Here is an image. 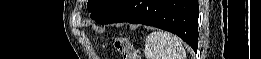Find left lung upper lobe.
<instances>
[{
	"label": "left lung upper lobe",
	"instance_id": "1",
	"mask_svg": "<svg viewBox=\"0 0 261 59\" xmlns=\"http://www.w3.org/2000/svg\"><path fill=\"white\" fill-rule=\"evenodd\" d=\"M119 0H88L87 9L96 22L105 15Z\"/></svg>",
	"mask_w": 261,
	"mask_h": 59
}]
</instances>
